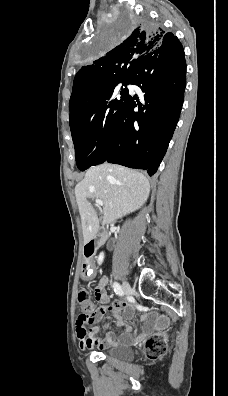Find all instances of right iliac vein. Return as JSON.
<instances>
[{
    "label": "right iliac vein",
    "instance_id": "obj_1",
    "mask_svg": "<svg viewBox=\"0 0 228 396\" xmlns=\"http://www.w3.org/2000/svg\"><path fill=\"white\" fill-rule=\"evenodd\" d=\"M123 293L128 296L131 294V287L128 282L124 281L122 284Z\"/></svg>",
    "mask_w": 228,
    "mask_h": 396
}]
</instances>
